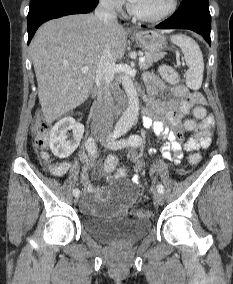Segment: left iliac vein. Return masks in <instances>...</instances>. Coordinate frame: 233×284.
Listing matches in <instances>:
<instances>
[{"instance_id": "1", "label": "left iliac vein", "mask_w": 233, "mask_h": 284, "mask_svg": "<svg viewBox=\"0 0 233 284\" xmlns=\"http://www.w3.org/2000/svg\"><path fill=\"white\" fill-rule=\"evenodd\" d=\"M102 144H104L106 147H110V141L107 138H103L101 140ZM154 200L157 204L162 205L164 203V196L160 192L154 193Z\"/></svg>"}]
</instances>
